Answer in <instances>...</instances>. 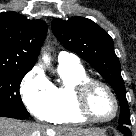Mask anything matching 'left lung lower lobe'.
Listing matches in <instances>:
<instances>
[{"instance_id": "obj_1", "label": "left lung lower lobe", "mask_w": 136, "mask_h": 136, "mask_svg": "<svg viewBox=\"0 0 136 136\" xmlns=\"http://www.w3.org/2000/svg\"><path fill=\"white\" fill-rule=\"evenodd\" d=\"M118 129L125 135V136H131V131L128 127L125 125H120Z\"/></svg>"}]
</instances>
